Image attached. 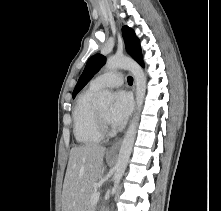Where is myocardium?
<instances>
[{"label":"myocardium","instance_id":"f54148a6","mask_svg":"<svg viewBox=\"0 0 221 211\" xmlns=\"http://www.w3.org/2000/svg\"><path fill=\"white\" fill-rule=\"evenodd\" d=\"M97 122L102 135H109L111 133L107 119L101 114L100 110H96Z\"/></svg>","mask_w":221,"mask_h":211}]
</instances>
